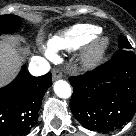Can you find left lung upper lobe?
<instances>
[{"mask_svg": "<svg viewBox=\"0 0 136 136\" xmlns=\"http://www.w3.org/2000/svg\"><path fill=\"white\" fill-rule=\"evenodd\" d=\"M119 48L127 50H131L132 48L129 41L122 35L119 37Z\"/></svg>", "mask_w": 136, "mask_h": 136, "instance_id": "obj_1", "label": "left lung upper lobe"}]
</instances>
